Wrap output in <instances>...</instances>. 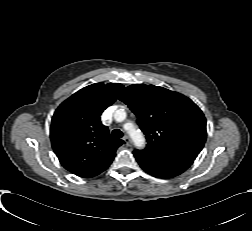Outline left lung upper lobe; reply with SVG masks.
Here are the masks:
<instances>
[{"label": "left lung upper lobe", "mask_w": 252, "mask_h": 231, "mask_svg": "<svg viewBox=\"0 0 252 231\" xmlns=\"http://www.w3.org/2000/svg\"><path fill=\"white\" fill-rule=\"evenodd\" d=\"M119 99L136 114L146 135L145 154L196 159L206 141V119L188 97L154 85L126 87Z\"/></svg>", "instance_id": "obj_1"}]
</instances>
